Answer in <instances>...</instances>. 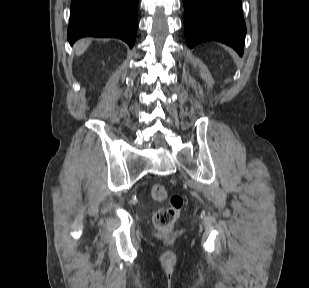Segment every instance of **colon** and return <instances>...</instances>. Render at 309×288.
I'll return each instance as SVG.
<instances>
[{
  "label": "colon",
  "mask_w": 309,
  "mask_h": 288,
  "mask_svg": "<svg viewBox=\"0 0 309 288\" xmlns=\"http://www.w3.org/2000/svg\"><path fill=\"white\" fill-rule=\"evenodd\" d=\"M151 197L156 201H163L168 198V192L163 184H154L150 190ZM183 198L179 194H173L169 198V205L156 211L153 217L154 225L162 231L170 230L181 211Z\"/></svg>",
  "instance_id": "5ec220e1"
}]
</instances>
